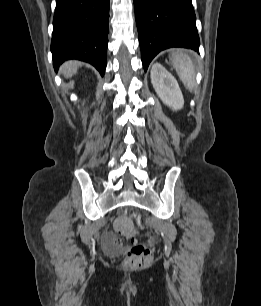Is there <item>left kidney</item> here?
<instances>
[{"label":"left kidney","mask_w":261,"mask_h":306,"mask_svg":"<svg viewBox=\"0 0 261 306\" xmlns=\"http://www.w3.org/2000/svg\"><path fill=\"white\" fill-rule=\"evenodd\" d=\"M151 82L164 104L173 110L183 107L184 99L176 79L159 63L152 65Z\"/></svg>","instance_id":"obj_1"}]
</instances>
